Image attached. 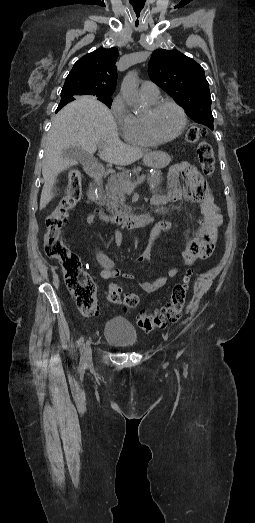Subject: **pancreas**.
<instances>
[{"instance_id":"cf45deb5","label":"pancreas","mask_w":255,"mask_h":523,"mask_svg":"<svg viewBox=\"0 0 255 523\" xmlns=\"http://www.w3.org/2000/svg\"><path fill=\"white\" fill-rule=\"evenodd\" d=\"M131 170H123L119 174H112L108 178V184H106V208L109 214L114 216H125V214H131L132 208L125 204V190H123V182H131L132 176H129ZM133 174L141 172V168H134ZM148 184L151 192H159L157 186H159L162 180V172H153V176H147Z\"/></svg>"}]
</instances>
